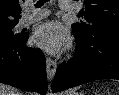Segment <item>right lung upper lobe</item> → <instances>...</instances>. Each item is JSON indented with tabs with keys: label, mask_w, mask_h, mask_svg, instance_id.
Masks as SVG:
<instances>
[{
	"label": "right lung upper lobe",
	"mask_w": 119,
	"mask_h": 95,
	"mask_svg": "<svg viewBox=\"0 0 119 95\" xmlns=\"http://www.w3.org/2000/svg\"><path fill=\"white\" fill-rule=\"evenodd\" d=\"M24 0H0V26L16 25L21 18L20 3Z\"/></svg>",
	"instance_id": "1"
}]
</instances>
